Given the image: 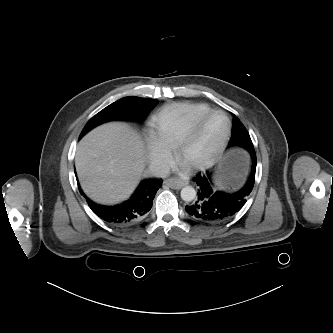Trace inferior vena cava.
I'll use <instances>...</instances> for the list:
<instances>
[{
	"instance_id": "obj_1",
	"label": "inferior vena cava",
	"mask_w": 333,
	"mask_h": 333,
	"mask_svg": "<svg viewBox=\"0 0 333 333\" xmlns=\"http://www.w3.org/2000/svg\"><path fill=\"white\" fill-rule=\"evenodd\" d=\"M148 174L154 177L166 178L170 174V168L164 164H152L149 166Z\"/></svg>"
}]
</instances>
